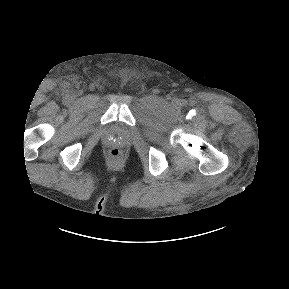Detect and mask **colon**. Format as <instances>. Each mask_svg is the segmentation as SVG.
<instances>
[{"label": "colon", "instance_id": "obj_1", "mask_svg": "<svg viewBox=\"0 0 289 289\" xmlns=\"http://www.w3.org/2000/svg\"><path fill=\"white\" fill-rule=\"evenodd\" d=\"M109 156L110 158H112L113 160L117 161L121 158L122 156V151L119 148H112L109 151Z\"/></svg>", "mask_w": 289, "mask_h": 289}]
</instances>
